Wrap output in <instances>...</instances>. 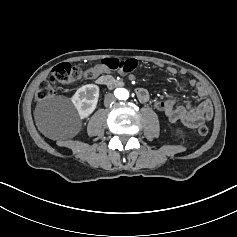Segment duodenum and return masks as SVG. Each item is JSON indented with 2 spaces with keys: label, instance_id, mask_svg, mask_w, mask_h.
Here are the masks:
<instances>
[{
  "label": "duodenum",
  "instance_id": "duodenum-1",
  "mask_svg": "<svg viewBox=\"0 0 237 237\" xmlns=\"http://www.w3.org/2000/svg\"><path fill=\"white\" fill-rule=\"evenodd\" d=\"M97 84L107 87V88H117L124 86L122 80L116 79L108 75H100L96 79Z\"/></svg>",
  "mask_w": 237,
  "mask_h": 237
}]
</instances>
